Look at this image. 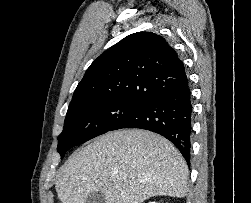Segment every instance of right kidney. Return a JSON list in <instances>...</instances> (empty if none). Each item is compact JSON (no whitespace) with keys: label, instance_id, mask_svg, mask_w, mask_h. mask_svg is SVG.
I'll list each match as a JSON object with an SVG mask.
<instances>
[{"label":"right kidney","instance_id":"1","mask_svg":"<svg viewBox=\"0 0 251 203\" xmlns=\"http://www.w3.org/2000/svg\"><path fill=\"white\" fill-rule=\"evenodd\" d=\"M148 203H157V202H148Z\"/></svg>","mask_w":251,"mask_h":203}]
</instances>
